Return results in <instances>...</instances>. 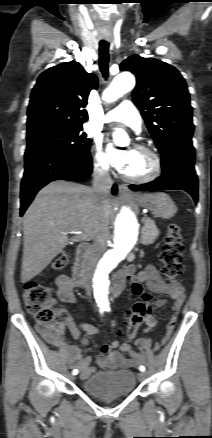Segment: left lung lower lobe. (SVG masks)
Returning a JSON list of instances; mask_svg holds the SVG:
<instances>
[{
  "label": "left lung lower lobe",
  "mask_w": 212,
  "mask_h": 438,
  "mask_svg": "<svg viewBox=\"0 0 212 438\" xmlns=\"http://www.w3.org/2000/svg\"><path fill=\"white\" fill-rule=\"evenodd\" d=\"M162 175L156 180L130 185L133 191L185 190L198 201V178L194 169L195 149L191 140L175 142L161 153Z\"/></svg>",
  "instance_id": "0a47b994"
}]
</instances>
